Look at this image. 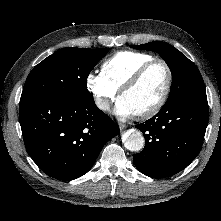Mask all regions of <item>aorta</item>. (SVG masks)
<instances>
[{
  "mask_svg": "<svg viewBox=\"0 0 221 221\" xmlns=\"http://www.w3.org/2000/svg\"><path fill=\"white\" fill-rule=\"evenodd\" d=\"M145 139L143 134L136 129H131L125 134L124 146L129 151H140L144 147Z\"/></svg>",
  "mask_w": 221,
  "mask_h": 221,
  "instance_id": "obj_1",
  "label": "aorta"
}]
</instances>
